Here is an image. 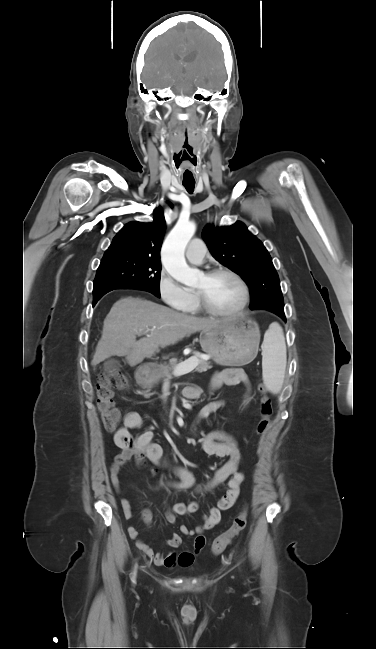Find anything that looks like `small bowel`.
I'll use <instances>...</instances> for the list:
<instances>
[{
    "label": "small bowel",
    "instance_id": "small-bowel-1",
    "mask_svg": "<svg viewBox=\"0 0 376 649\" xmlns=\"http://www.w3.org/2000/svg\"><path fill=\"white\" fill-rule=\"evenodd\" d=\"M239 383L244 384L247 389H249V379L244 371L240 368H228L214 374L211 381V388L216 389L222 385H236ZM200 393V389L195 386L187 387L184 390V396L188 399L198 398ZM248 401L249 396L247 394L244 403L246 404ZM221 406L222 402L220 401H214L205 405L199 413V418L205 419L209 417ZM142 422V417L138 412L130 411L124 417L123 426L114 434L113 441L119 449V453L115 456L109 467V475L111 484L115 491L120 492V472L124 464L131 459L138 462L148 461L154 465L155 468L169 467L176 475L177 480L166 482V486L177 490L193 488L195 486V478L193 474L182 466H172L164 460L162 447L154 441V433L152 431L146 430L137 438H133L131 430L140 428ZM201 445L208 455L221 458L227 457L228 460L222 467L215 471L212 479L203 488H198L197 490H209L229 480L228 490L218 500V507L211 508L209 512L203 516L200 525L194 529H190L185 525L179 527L181 534L194 537L192 541V550H186L180 553L175 550L166 553H155L152 548L141 540L138 530L133 526H129L128 532L131 539L135 540L137 547L151 558L157 566H190L196 556L204 548V532L210 530L220 522V510L230 508L239 495L244 475L241 472H238L242 460V452L237 441L226 432L216 430L208 433L203 438ZM121 507L124 517L127 520L131 519L133 513L130 501L127 498L123 497L121 499ZM197 509L198 505L195 502L189 504L176 503L166 512V520L168 523L175 525L177 523L178 515L193 513ZM142 516L147 524L151 523L152 516L150 511L143 510ZM166 544L170 548L176 549L182 544V536L175 533L167 540Z\"/></svg>",
    "mask_w": 376,
    "mask_h": 649
}]
</instances>
